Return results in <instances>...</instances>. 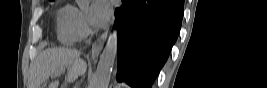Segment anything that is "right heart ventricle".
<instances>
[{
	"label": "right heart ventricle",
	"mask_w": 267,
	"mask_h": 88,
	"mask_svg": "<svg viewBox=\"0 0 267 88\" xmlns=\"http://www.w3.org/2000/svg\"><path fill=\"white\" fill-rule=\"evenodd\" d=\"M75 8L73 7H65L62 8L58 13V20L60 22L59 27V36L63 41H69L67 40V29H66V21L70 18L72 12Z\"/></svg>",
	"instance_id": "right-heart-ventricle-1"
}]
</instances>
